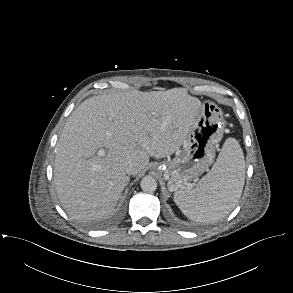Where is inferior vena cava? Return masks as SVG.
Wrapping results in <instances>:
<instances>
[{"label": "inferior vena cava", "instance_id": "inferior-vena-cava-1", "mask_svg": "<svg viewBox=\"0 0 293 293\" xmlns=\"http://www.w3.org/2000/svg\"><path fill=\"white\" fill-rule=\"evenodd\" d=\"M124 169L127 174H133L136 171V167L132 163L127 164Z\"/></svg>", "mask_w": 293, "mask_h": 293}]
</instances>
